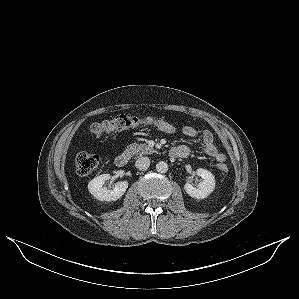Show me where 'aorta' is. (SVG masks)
I'll use <instances>...</instances> for the list:
<instances>
[{
  "instance_id": "obj_1",
  "label": "aorta",
  "mask_w": 299,
  "mask_h": 299,
  "mask_svg": "<svg viewBox=\"0 0 299 299\" xmlns=\"http://www.w3.org/2000/svg\"><path fill=\"white\" fill-rule=\"evenodd\" d=\"M156 170L160 173H166L168 171V164L164 161H160L156 165Z\"/></svg>"
}]
</instances>
